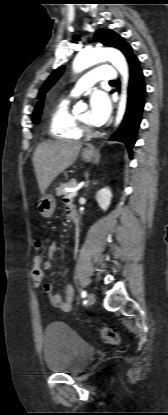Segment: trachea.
<instances>
[{
    "mask_svg": "<svg viewBox=\"0 0 168 415\" xmlns=\"http://www.w3.org/2000/svg\"><path fill=\"white\" fill-rule=\"evenodd\" d=\"M110 83H115V81H114V80H112V81H110Z\"/></svg>",
    "mask_w": 168,
    "mask_h": 415,
    "instance_id": "trachea-1",
    "label": "trachea"
}]
</instances>
